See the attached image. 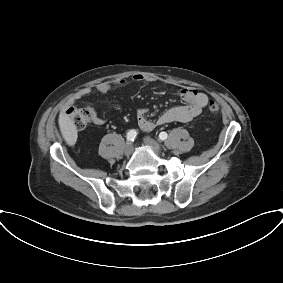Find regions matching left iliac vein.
I'll list each match as a JSON object with an SVG mask.
<instances>
[{"label":"left iliac vein","instance_id":"obj_1","mask_svg":"<svg viewBox=\"0 0 283 283\" xmlns=\"http://www.w3.org/2000/svg\"><path fill=\"white\" fill-rule=\"evenodd\" d=\"M144 143L148 147H150L157 155H161V147L157 141L152 139L151 137H145L144 138Z\"/></svg>","mask_w":283,"mask_h":283}]
</instances>
